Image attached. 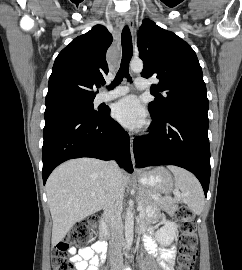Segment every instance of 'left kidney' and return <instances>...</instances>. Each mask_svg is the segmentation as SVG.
Segmentation results:
<instances>
[{
    "mask_svg": "<svg viewBox=\"0 0 242 270\" xmlns=\"http://www.w3.org/2000/svg\"><path fill=\"white\" fill-rule=\"evenodd\" d=\"M164 226L156 232V239L162 246H169L178 233V226L175 222L163 220Z\"/></svg>",
    "mask_w": 242,
    "mask_h": 270,
    "instance_id": "1",
    "label": "left kidney"
}]
</instances>
